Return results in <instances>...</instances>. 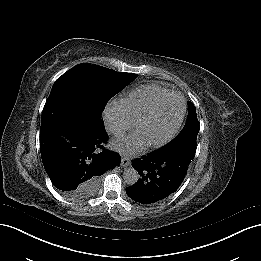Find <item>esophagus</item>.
Segmentation results:
<instances>
[{
    "label": "esophagus",
    "instance_id": "esophagus-1",
    "mask_svg": "<svg viewBox=\"0 0 261 261\" xmlns=\"http://www.w3.org/2000/svg\"><path fill=\"white\" fill-rule=\"evenodd\" d=\"M130 163H131V161H130L129 157H127V156L122 157L121 165H122L123 167L129 166Z\"/></svg>",
    "mask_w": 261,
    "mask_h": 261
}]
</instances>
